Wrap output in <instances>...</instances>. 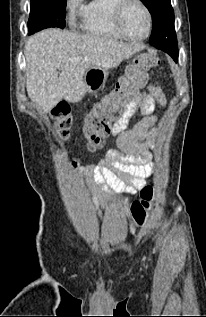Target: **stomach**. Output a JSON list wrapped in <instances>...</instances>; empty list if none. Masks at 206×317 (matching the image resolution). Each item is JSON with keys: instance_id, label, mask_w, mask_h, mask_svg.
I'll return each instance as SVG.
<instances>
[{"instance_id": "stomach-1", "label": "stomach", "mask_w": 206, "mask_h": 317, "mask_svg": "<svg viewBox=\"0 0 206 317\" xmlns=\"http://www.w3.org/2000/svg\"><path fill=\"white\" fill-rule=\"evenodd\" d=\"M138 57H150L149 54L142 53L132 58L131 63H124L123 68H136L138 65ZM97 69V70H95ZM81 86L85 93L88 94H107V91H113L116 87L115 79H117L118 74L114 72L113 68H105V66H100V68H92L87 72H83Z\"/></svg>"}]
</instances>
